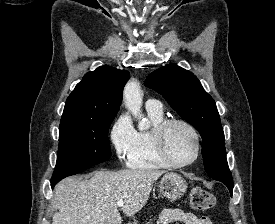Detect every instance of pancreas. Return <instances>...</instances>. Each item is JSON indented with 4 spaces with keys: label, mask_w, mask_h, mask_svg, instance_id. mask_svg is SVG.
Masks as SVG:
<instances>
[{
    "label": "pancreas",
    "mask_w": 275,
    "mask_h": 224,
    "mask_svg": "<svg viewBox=\"0 0 275 224\" xmlns=\"http://www.w3.org/2000/svg\"><path fill=\"white\" fill-rule=\"evenodd\" d=\"M146 224H151V220L149 222H147Z\"/></svg>",
    "instance_id": "obj_1"
}]
</instances>
